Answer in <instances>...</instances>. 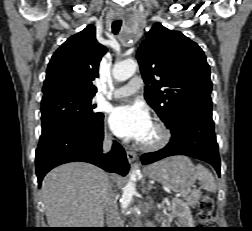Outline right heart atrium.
Here are the masks:
<instances>
[{
	"instance_id": "right-heart-atrium-1",
	"label": "right heart atrium",
	"mask_w": 252,
	"mask_h": 231,
	"mask_svg": "<svg viewBox=\"0 0 252 231\" xmlns=\"http://www.w3.org/2000/svg\"><path fill=\"white\" fill-rule=\"evenodd\" d=\"M106 138L111 139V135L109 133H106Z\"/></svg>"
}]
</instances>
